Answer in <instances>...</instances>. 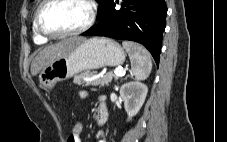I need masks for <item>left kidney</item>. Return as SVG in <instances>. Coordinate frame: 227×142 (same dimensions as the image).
I'll list each match as a JSON object with an SVG mask.
<instances>
[{
	"mask_svg": "<svg viewBox=\"0 0 227 142\" xmlns=\"http://www.w3.org/2000/svg\"><path fill=\"white\" fill-rule=\"evenodd\" d=\"M148 88L141 82H128L121 86L120 97L124 101V108L128 115V121L141 109L146 99Z\"/></svg>",
	"mask_w": 227,
	"mask_h": 142,
	"instance_id": "1",
	"label": "left kidney"
}]
</instances>
